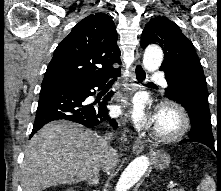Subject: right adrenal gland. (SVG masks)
I'll return each instance as SVG.
<instances>
[{
  "label": "right adrenal gland",
  "instance_id": "1",
  "mask_svg": "<svg viewBox=\"0 0 221 191\" xmlns=\"http://www.w3.org/2000/svg\"><path fill=\"white\" fill-rule=\"evenodd\" d=\"M87 184L89 186H96L99 184V174H97L96 176H94L92 179H88L87 180Z\"/></svg>",
  "mask_w": 221,
  "mask_h": 191
}]
</instances>
